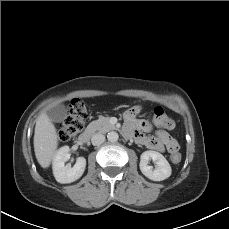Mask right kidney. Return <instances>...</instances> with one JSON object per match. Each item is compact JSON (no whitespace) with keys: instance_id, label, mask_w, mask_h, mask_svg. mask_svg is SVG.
Returning <instances> with one entry per match:
<instances>
[{"instance_id":"1","label":"right kidney","mask_w":229,"mask_h":229,"mask_svg":"<svg viewBox=\"0 0 229 229\" xmlns=\"http://www.w3.org/2000/svg\"><path fill=\"white\" fill-rule=\"evenodd\" d=\"M69 152V146H63L56 152L53 159L54 177L57 182L62 184L71 183L79 179L86 167V159L84 157H79L73 167L65 165V162L70 158Z\"/></svg>"}]
</instances>
